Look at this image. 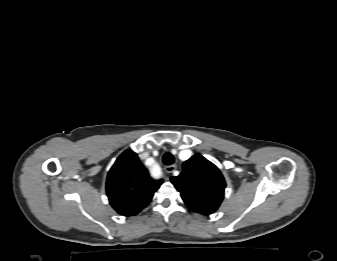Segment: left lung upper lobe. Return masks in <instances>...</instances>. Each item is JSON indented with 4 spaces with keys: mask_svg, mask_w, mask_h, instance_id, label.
I'll return each instance as SVG.
<instances>
[{
    "mask_svg": "<svg viewBox=\"0 0 337 261\" xmlns=\"http://www.w3.org/2000/svg\"><path fill=\"white\" fill-rule=\"evenodd\" d=\"M171 182L185 204L194 212L210 215L220 206L226 187L219 169L201 155L183 163V171Z\"/></svg>",
    "mask_w": 337,
    "mask_h": 261,
    "instance_id": "5c2ea615",
    "label": "left lung upper lobe"
}]
</instances>
